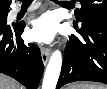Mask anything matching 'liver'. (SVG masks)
I'll use <instances>...</instances> for the list:
<instances>
[{
  "instance_id": "obj_1",
  "label": "liver",
  "mask_w": 107,
  "mask_h": 89,
  "mask_svg": "<svg viewBox=\"0 0 107 89\" xmlns=\"http://www.w3.org/2000/svg\"><path fill=\"white\" fill-rule=\"evenodd\" d=\"M0 89H23L14 79L1 75L0 77Z\"/></svg>"
}]
</instances>
